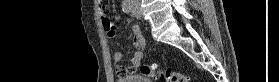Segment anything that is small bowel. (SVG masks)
Instances as JSON below:
<instances>
[{
    "mask_svg": "<svg viewBox=\"0 0 279 82\" xmlns=\"http://www.w3.org/2000/svg\"><path fill=\"white\" fill-rule=\"evenodd\" d=\"M99 6L104 10L105 1L99 0ZM104 30L107 33L108 38H113L115 36V32L117 26L113 23H105L103 22ZM133 34V44L136 47V51L134 52L131 63L129 66H118L115 70L116 74L119 76H124L128 74H132L135 70L140 66L141 61L144 57V49L146 46V41L144 36L142 35L141 29L138 25H133L131 28ZM123 58V54L121 52H115L113 54V59L115 62H120Z\"/></svg>",
    "mask_w": 279,
    "mask_h": 82,
    "instance_id": "small-bowel-1",
    "label": "small bowel"
}]
</instances>
